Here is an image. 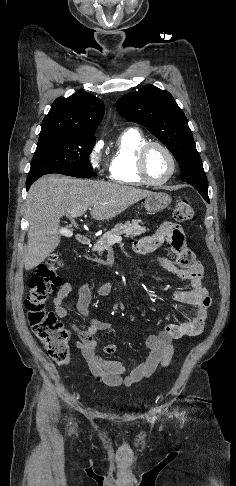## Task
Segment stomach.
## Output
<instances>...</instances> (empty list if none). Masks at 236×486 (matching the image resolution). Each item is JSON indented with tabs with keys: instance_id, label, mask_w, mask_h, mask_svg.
Masks as SVG:
<instances>
[{
	"instance_id": "1",
	"label": "stomach",
	"mask_w": 236,
	"mask_h": 486,
	"mask_svg": "<svg viewBox=\"0 0 236 486\" xmlns=\"http://www.w3.org/2000/svg\"><path fill=\"white\" fill-rule=\"evenodd\" d=\"M172 199L164 192H155L145 199L144 207L149 213H157L169 206Z\"/></svg>"
}]
</instances>
